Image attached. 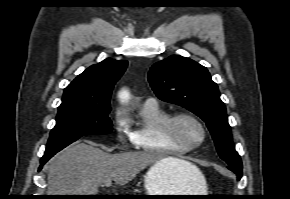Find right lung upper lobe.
I'll list each match as a JSON object with an SVG mask.
<instances>
[{"instance_id":"1","label":"right lung upper lobe","mask_w":290,"mask_h":199,"mask_svg":"<svg viewBox=\"0 0 290 199\" xmlns=\"http://www.w3.org/2000/svg\"><path fill=\"white\" fill-rule=\"evenodd\" d=\"M127 64L126 60L107 58L90 66L65 88L59 108L110 105L113 86Z\"/></svg>"}]
</instances>
